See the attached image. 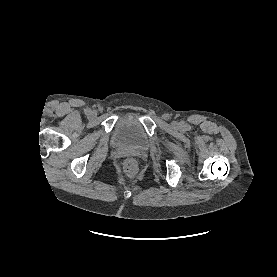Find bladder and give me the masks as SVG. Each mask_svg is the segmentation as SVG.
<instances>
[{
	"label": "bladder",
	"instance_id": "1",
	"mask_svg": "<svg viewBox=\"0 0 277 277\" xmlns=\"http://www.w3.org/2000/svg\"><path fill=\"white\" fill-rule=\"evenodd\" d=\"M112 140L123 148L144 150L149 144V137L138 117L122 115L116 122Z\"/></svg>",
	"mask_w": 277,
	"mask_h": 277
}]
</instances>
